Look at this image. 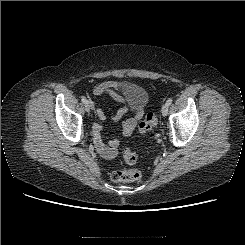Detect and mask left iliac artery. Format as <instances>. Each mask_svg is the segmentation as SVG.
<instances>
[{
    "label": "left iliac artery",
    "instance_id": "obj_1",
    "mask_svg": "<svg viewBox=\"0 0 245 245\" xmlns=\"http://www.w3.org/2000/svg\"><path fill=\"white\" fill-rule=\"evenodd\" d=\"M172 98H169L167 101H166V104L168 105V106H170L171 104H172Z\"/></svg>",
    "mask_w": 245,
    "mask_h": 245
}]
</instances>
